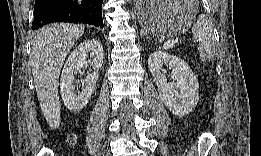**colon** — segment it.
Instances as JSON below:
<instances>
[{
	"label": "colon",
	"instance_id": "1",
	"mask_svg": "<svg viewBox=\"0 0 261 156\" xmlns=\"http://www.w3.org/2000/svg\"><path fill=\"white\" fill-rule=\"evenodd\" d=\"M70 141H71V142H73V141H74V137H73V136L70 138Z\"/></svg>",
	"mask_w": 261,
	"mask_h": 156
}]
</instances>
